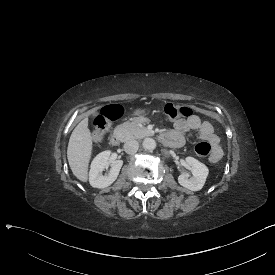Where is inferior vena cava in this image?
Wrapping results in <instances>:
<instances>
[{
  "label": "inferior vena cava",
  "mask_w": 275,
  "mask_h": 275,
  "mask_svg": "<svg viewBox=\"0 0 275 275\" xmlns=\"http://www.w3.org/2000/svg\"><path fill=\"white\" fill-rule=\"evenodd\" d=\"M139 148V143L136 140H129L124 144V150L128 154L136 153Z\"/></svg>",
  "instance_id": "602c4592"
}]
</instances>
